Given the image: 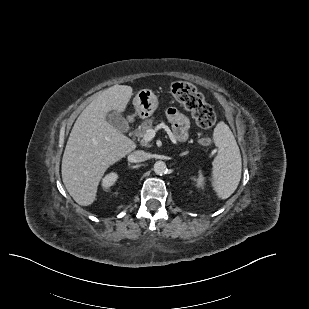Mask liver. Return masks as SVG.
Wrapping results in <instances>:
<instances>
[{
	"label": "liver",
	"mask_w": 309,
	"mask_h": 309,
	"mask_svg": "<svg viewBox=\"0 0 309 309\" xmlns=\"http://www.w3.org/2000/svg\"><path fill=\"white\" fill-rule=\"evenodd\" d=\"M132 87L114 85L101 92L79 115L62 158V180L81 206L91 205L106 170L136 148V144L107 120L114 110L125 111Z\"/></svg>",
	"instance_id": "obj_1"
}]
</instances>
